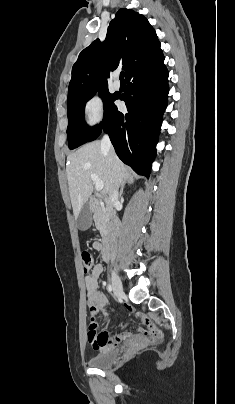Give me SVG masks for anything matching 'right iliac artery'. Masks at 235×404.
Returning a JSON list of instances; mask_svg holds the SVG:
<instances>
[{
	"label": "right iliac artery",
	"instance_id": "82829eb1",
	"mask_svg": "<svg viewBox=\"0 0 235 404\" xmlns=\"http://www.w3.org/2000/svg\"><path fill=\"white\" fill-rule=\"evenodd\" d=\"M107 289H108V291H109L110 293H112V286H111V285H108Z\"/></svg>",
	"mask_w": 235,
	"mask_h": 404
}]
</instances>
